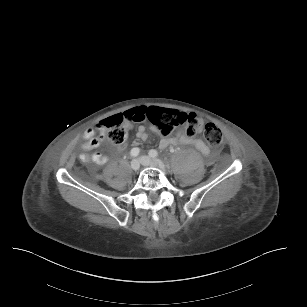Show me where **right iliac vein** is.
<instances>
[{"mask_svg": "<svg viewBox=\"0 0 307 307\" xmlns=\"http://www.w3.org/2000/svg\"><path fill=\"white\" fill-rule=\"evenodd\" d=\"M130 166H131V169H132L133 171H138V170L140 169V162H139V160L133 159V160L131 161Z\"/></svg>", "mask_w": 307, "mask_h": 307, "instance_id": "1", "label": "right iliac vein"}]
</instances>
